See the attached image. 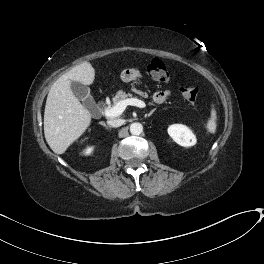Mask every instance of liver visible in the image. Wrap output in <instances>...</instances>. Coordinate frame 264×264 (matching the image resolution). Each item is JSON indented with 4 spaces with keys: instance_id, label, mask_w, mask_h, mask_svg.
<instances>
[{
    "instance_id": "1",
    "label": "liver",
    "mask_w": 264,
    "mask_h": 264,
    "mask_svg": "<svg viewBox=\"0 0 264 264\" xmlns=\"http://www.w3.org/2000/svg\"><path fill=\"white\" fill-rule=\"evenodd\" d=\"M95 69L83 62L59 77L51 86L45 105V139L56 154H63L91 124L90 112L76 98L71 82L93 84Z\"/></svg>"
}]
</instances>
